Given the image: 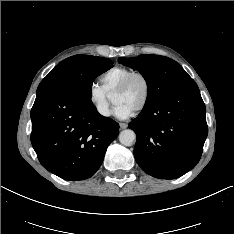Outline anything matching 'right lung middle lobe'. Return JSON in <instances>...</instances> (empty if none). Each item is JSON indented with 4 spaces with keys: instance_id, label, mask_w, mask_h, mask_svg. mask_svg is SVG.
Returning <instances> with one entry per match:
<instances>
[{
    "instance_id": "dd1d6c3e",
    "label": "right lung middle lobe",
    "mask_w": 234,
    "mask_h": 234,
    "mask_svg": "<svg viewBox=\"0 0 234 234\" xmlns=\"http://www.w3.org/2000/svg\"><path fill=\"white\" fill-rule=\"evenodd\" d=\"M113 67L110 59L75 55L61 61L41 81L37 93L45 90L69 89L79 98L90 102L94 79Z\"/></svg>"
}]
</instances>
